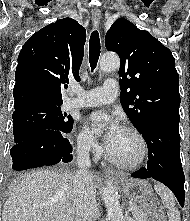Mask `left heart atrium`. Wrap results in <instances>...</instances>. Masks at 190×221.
I'll use <instances>...</instances> for the list:
<instances>
[{
	"instance_id": "39dd6f15",
	"label": "left heart atrium",
	"mask_w": 190,
	"mask_h": 221,
	"mask_svg": "<svg viewBox=\"0 0 190 221\" xmlns=\"http://www.w3.org/2000/svg\"><path fill=\"white\" fill-rule=\"evenodd\" d=\"M88 124L94 132H98L103 126L107 127L104 134V140L108 145L118 134L121 127L115 116L102 111L93 112L88 117Z\"/></svg>"
}]
</instances>
